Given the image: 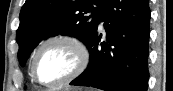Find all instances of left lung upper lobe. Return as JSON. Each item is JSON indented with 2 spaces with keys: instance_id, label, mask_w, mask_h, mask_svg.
I'll return each instance as SVG.
<instances>
[{
  "instance_id": "left-lung-upper-lobe-1",
  "label": "left lung upper lobe",
  "mask_w": 173,
  "mask_h": 91,
  "mask_svg": "<svg viewBox=\"0 0 173 91\" xmlns=\"http://www.w3.org/2000/svg\"><path fill=\"white\" fill-rule=\"evenodd\" d=\"M107 0H26L20 12L16 40L18 58L24 66L31 51L44 38L63 34L86 45L92 38Z\"/></svg>"
}]
</instances>
